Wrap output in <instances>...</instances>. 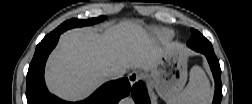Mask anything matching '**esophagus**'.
Listing matches in <instances>:
<instances>
[{"mask_svg":"<svg viewBox=\"0 0 252 104\" xmlns=\"http://www.w3.org/2000/svg\"><path fill=\"white\" fill-rule=\"evenodd\" d=\"M140 78V72L139 71H132L131 73H129L128 75V79L131 85H133L134 83H136Z\"/></svg>","mask_w":252,"mask_h":104,"instance_id":"34e87169","label":"esophagus"}]
</instances>
